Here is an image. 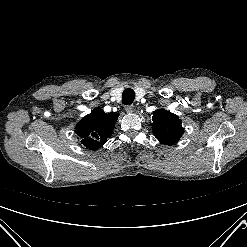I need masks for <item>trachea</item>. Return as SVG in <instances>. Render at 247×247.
Segmentation results:
<instances>
[{
    "label": "trachea",
    "mask_w": 247,
    "mask_h": 247,
    "mask_svg": "<svg viewBox=\"0 0 247 247\" xmlns=\"http://www.w3.org/2000/svg\"><path fill=\"white\" fill-rule=\"evenodd\" d=\"M135 99V92L133 89L127 88L122 93V103L124 105H130Z\"/></svg>",
    "instance_id": "1"
}]
</instances>
